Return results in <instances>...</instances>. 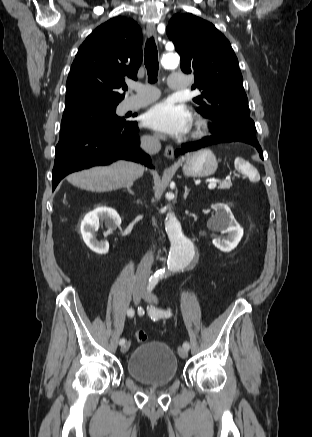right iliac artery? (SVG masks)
Here are the masks:
<instances>
[{
    "label": "right iliac artery",
    "instance_id": "82829eb1",
    "mask_svg": "<svg viewBox=\"0 0 312 437\" xmlns=\"http://www.w3.org/2000/svg\"><path fill=\"white\" fill-rule=\"evenodd\" d=\"M138 310H139V313H140V314H144L143 309H142L141 307L138 308ZM134 314H135L134 309L130 308V309L127 310V315H128L129 317H133ZM119 343H120V345H123V344L125 343V339H123V338L120 339Z\"/></svg>",
    "mask_w": 312,
    "mask_h": 437
}]
</instances>
